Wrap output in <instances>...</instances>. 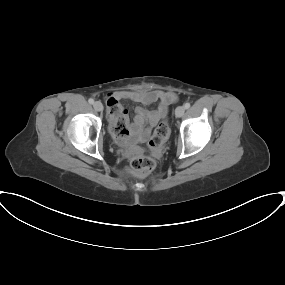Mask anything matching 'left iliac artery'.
<instances>
[{"instance_id": "1", "label": "left iliac artery", "mask_w": 285, "mask_h": 285, "mask_svg": "<svg viewBox=\"0 0 285 285\" xmlns=\"http://www.w3.org/2000/svg\"><path fill=\"white\" fill-rule=\"evenodd\" d=\"M184 107H185V109H189L190 108V103H185Z\"/></svg>"}]
</instances>
